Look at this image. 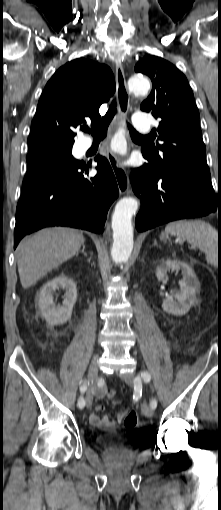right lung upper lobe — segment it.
I'll return each instance as SVG.
<instances>
[{
  "label": "right lung upper lobe",
  "mask_w": 221,
  "mask_h": 510,
  "mask_svg": "<svg viewBox=\"0 0 221 510\" xmlns=\"http://www.w3.org/2000/svg\"><path fill=\"white\" fill-rule=\"evenodd\" d=\"M115 91L111 69L84 58L60 67L46 84L28 137L29 151L72 147L74 129L100 120L99 107Z\"/></svg>",
  "instance_id": "right-lung-upper-lobe-1"
}]
</instances>
